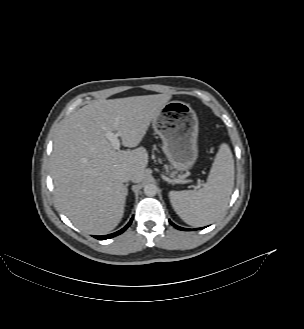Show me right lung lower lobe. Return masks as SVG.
<instances>
[{
  "mask_svg": "<svg viewBox=\"0 0 304 329\" xmlns=\"http://www.w3.org/2000/svg\"><path fill=\"white\" fill-rule=\"evenodd\" d=\"M131 223H132V219L130 220V222L124 228H122L121 230H119L115 233H112V234H109V235H104V236H94V237L99 239V240H105V239L115 237V236L123 233L130 226Z\"/></svg>",
  "mask_w": 304,
  "mask_h": 329,
  "instance_id": "right-lung-lower-lobe-1",
  "label": "right lung lower lobe"
}]
</instances>
